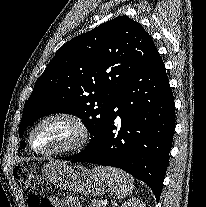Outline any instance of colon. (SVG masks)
<instances>
[{
  "label": "colon",
  "instance_id": "colon-1",
  "mask_svg": "<svg viewBox=\"0 0 206 207\" xmlns=\"http://www.w3.org/2000/svg\"><path fill=\"white\" fill-rule=\"evenodd\" d=\"M14 176L19 182L22 191L27 195L29 207H53L49 199L40 197L37 194L39 181L32 172L23 167H16Z\"/></svg>",
  "mask_w": 206,
  "mask_h": 207
}]
</instances>
